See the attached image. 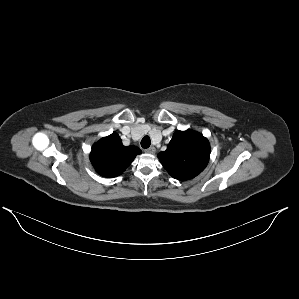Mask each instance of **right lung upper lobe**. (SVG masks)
I'll list each match as a JSON object with an SVG mask.
<instances>
[{"label":"right lung upper lobe","instance_id":"cb5924a9","mask_svg":"<svg viewBox=\"0 0 299 299\" xmlns=\"http://www.w3.org/2000/svg\"><path fill=\"white\" fill-rule=\"evenodd\" d=\"M140 153L138 147L124 146L119 135L112 133L92 146L90 161L101 176L115 177L124 172Z\"/></svg>","mask_w":299,"mask_h":299}]
</instances>
